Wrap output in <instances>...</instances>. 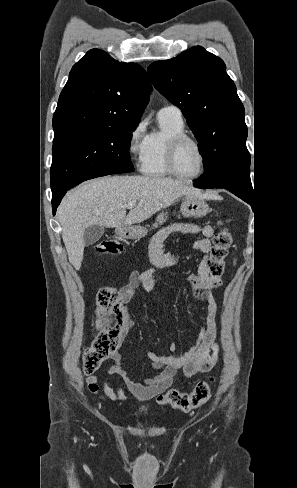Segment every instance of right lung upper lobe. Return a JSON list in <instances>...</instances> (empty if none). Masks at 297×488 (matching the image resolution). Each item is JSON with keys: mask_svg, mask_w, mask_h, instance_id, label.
<instances>
[{"mask_svg": "<svg viewBox=\"0 0 297 488\" xmlns=\"http://www.w3.org/2000/svg\"><path fill=\"white\" fill-rule=\"evenodd\" d=\"M151 84L136 63L92 49L72 68L53 116L55 135L78 129L137 126Z\"/></svg>", "mask_w": 297, "mask_h": 488, "instance_id": "cb5924a9", "label": "right lung upper lobe"}]
</instances>
